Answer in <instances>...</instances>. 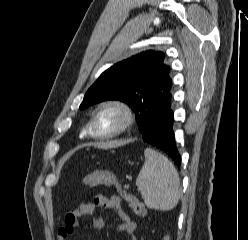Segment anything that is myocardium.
Listing matches in <instances>:
<instances>
[{"label":"myocardium","instance_id":"1","mask_svg":"<svg viewBox=\"0 0 248 240\" xmlns=\"http://www.w3.org/2000/svg\"><path fill=\"white\" fill-rule=\"evenodd\" d=\"M105 108H113L117 110L123 117L121 125L114 131L104 134H99L95 132V118L99 111ZM134 112L132 108L124 101L120 99H106L101 101L93 110L90 121H89V134L94 138L99 139H109L113 138L121 133L125 132L133 123Z\"/></svg>","mask_w":248,"mask_h":240}]
</instances>
